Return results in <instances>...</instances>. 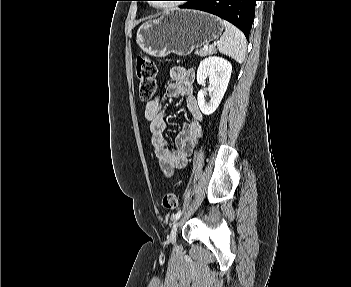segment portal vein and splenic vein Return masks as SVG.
Listing matches in <instances>:
<instances>
[{"label":"portal vein and splenic vein","mask_w":351,"mask_h":287,"mask_svg":"<svg viewBox=\"0 0 351 287\" xmlns=\"http://www.w3.org/2000/svg\"><path fill=\"white\" fill-rule=\"evenodd\" d=\"M204 49L207 50V49H208V46H204Z\"/></svg>","instance_id":"portal-vein-and-splenic-vein-1"}]
</instances>
